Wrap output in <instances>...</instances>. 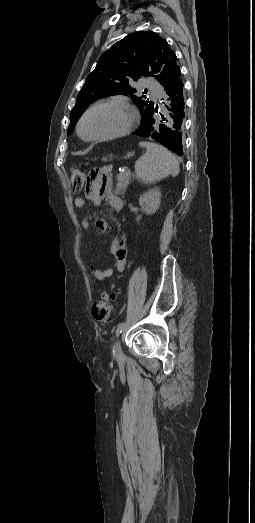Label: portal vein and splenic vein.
<instances>
[{
  "instance_id": "18ae733b",
  "label": "portal vein and splenic vein",
  "mask_w": 255,
  "mask_h": 523,
  "mask_svg": "<svg viewBox=\"0 0 255 523\" xmlns=\"http://www.w3.org/2000/svg\"><path fill=\"white\" fill-rule=\"evenodd\" d=\"M125 172H126L127 174H130V173L132 172V169H131L130 167H127V168L125 169Z\"/></svg>"
}]
</instances>
